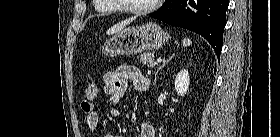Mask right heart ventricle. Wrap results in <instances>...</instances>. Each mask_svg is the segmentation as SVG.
Returning a JSON list of instances; mask_svg holds the SVG:
<instances>
[{"mask_svg":"<svg viewBox=\"0 0 280 137\" xmlns=\"http://www.w3.org/2000/svg\"><path fill=\"white\" fill-rule=\"evenodd\" d=\"M95 1V12L101 16L114 14L117 10L108 4V0H94Z\"/></svg>","mask_w":280,"mask_h":137,"instance_id":"right-heart-ventricle-1","label":"right heart ventricle"}]
</instances>
